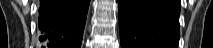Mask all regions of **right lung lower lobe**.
<instances>
[{
    "label": "right lung lower lobe",
    "instance_id": "obj_1",
    "mask_svg": "<svg viewBox=\"0 0 213 48\" xmlns=\"http://www.w3.org/2000/svg\"><path fill=\"white\" fill-rule=\"evenodd\" d=\"M90 0H41L40 41L47 48H80Z\"/></svg>",
    "mask_w": 213,
    "mask_h": 48
}]
</instances>
